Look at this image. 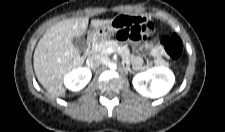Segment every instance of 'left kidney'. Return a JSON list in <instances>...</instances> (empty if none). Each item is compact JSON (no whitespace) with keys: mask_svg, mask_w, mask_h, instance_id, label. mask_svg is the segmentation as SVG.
<instances>
[{"mask_svg":"<svg viewBox=\"0 0 225 132\" xmlns=\"http://www.w3.org/2000/svg\"><path fill=\"white\" fill-rule=\"evenodd\" d=\"M175 82L173 72L167 67H154L133 77L132 83L138 93L149 98L167 94Z\"/></svg>","mask_w":225,"mask_h":132,"instance_id":"1","label":"left kidney"}]
</instances>
